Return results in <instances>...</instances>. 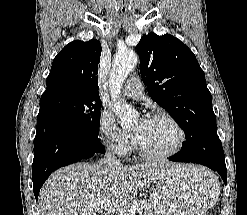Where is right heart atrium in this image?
<instances>
[{
  "instance_id": "d8ad5b80",
  "label": "right heart atrium",
  "mask_w": 247,
  "mask_h": 215,
  "mask_svg": "<svg viewBox=\"0 0 247 215\" xmlns=\"http://www.w3.org/2000/svg\"><path fill=\"white\" fill-rule=\"evenodd\" d=\"M98 135L104 145L119 156L127 155L132 148V136L118 127L112 115L105 110L99 116Z\"/></svg>"
}]
</instances>
